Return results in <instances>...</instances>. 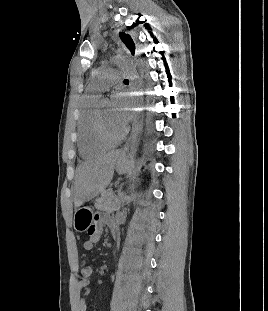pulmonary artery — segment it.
Wrapping results in <instances>:
<instances>
[{
    "label": "pulmonary artery",
    "instance_id": "obj_1",
    "mask_svg": "<svg viewBox=\"0 0 268 311\" xmlns=\"http://www.w3.org/2000/svg\"><path fill=\"white\" fill-rule=\"evenodd\" d=\"M125 73L120 70H111L98 75L90 85V90L100 93L108 89L115 83L121 82Z\"/></svg>",
    "mask_w": 268,
    "mask_h": 311
}]
</instances>
